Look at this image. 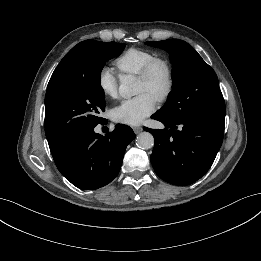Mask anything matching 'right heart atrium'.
Wrapping results in <instances>:
<instances>
[{
  "mask_svg": "<svg viewBox=\"0 0 261 261\" xmlns=\"http://www.w3.org/2000/svg\"><path fill=\"white\" fill-rule=\"evenodd\" d=\"M97 83L101 93L105 97H117L119 80L112 69H110L109 67H103L98 73Z\"/></svg>",
  "mask_w": 261,
  "mask_h": 261,
  "instance_id": "d8ad5b80",
  "label": "right heart atrium"
}]
</instances>
